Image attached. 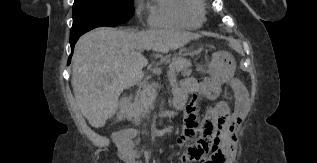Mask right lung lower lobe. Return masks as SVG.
<instances>
[{"label":"right lung lower lobe","mask_w":317,"mask_h":163,"mask_svg":"<svg viewBox=\"0 0 317 163\" xmlns=\"http://www.w3.org/2000/svg\"><path fill=\"white\" fill-rule=\"evenodd\" d=\"M80 36H81V35H80ZM80 36H77V37H74V38H71V39H70L71 55H70V57H69L68 64H69L70 61H71V56H72V53H73V50H74V45H75V43L77 42V40H78V38H79Z\"/></svg>","instance_id":"obj_1"}]
</instances>
